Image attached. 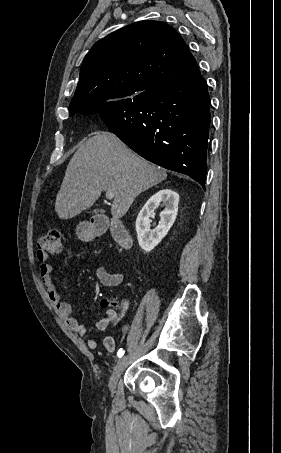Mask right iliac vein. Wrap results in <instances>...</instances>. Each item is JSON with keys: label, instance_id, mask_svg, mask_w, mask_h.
Returning <instances> with one entry per match:
<instances>
[{"label": "right iliac vein", "instance_id": "obj_1", "mask_svg": "<svg viewBox=\"0 0 281 453\" xmlns=\"http://www.w3.org/2000/svg\"><path fill=\"white\" fill-rule=\"evenodd\" d=\"M125 358H119L118 360V365L116 367V369L114 370V374L109 378V390L112 392L115 388H116V381L118 379V376L121 375L122 372H124L125 370V361H124Z\"/></svg>", "mask_w": 281, "mask_h": 453}]
</instances>
